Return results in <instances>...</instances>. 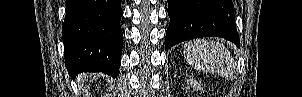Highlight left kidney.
<instances>
[{"instance_id": "1", "label": "left kidney", "mask_w": 302, "mask_h": 97, "mask_svg": "<svg viewBox=\"0 0 302 97\" xmlns=\"http://www.w3.org/2000/svg\"><path fill=\"white\" fill-rule=\"evenodd\" d=\"M189 83L194 90H201V85L195 79H189Z\"/></svg>"}]
</instances>
